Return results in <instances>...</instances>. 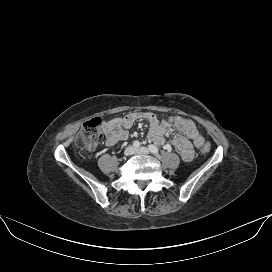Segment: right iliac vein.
<instances>
[{
    "mask_svg": "<svg viewBox=\"0 0 272 272\" xmlns=\"http://www.w3.org/2000/svg\"><path fill=\"white\" fill-rule=\"evenodd\" d=\"M134 152H135V148L133 146H128L124 151V155L130 156V155L134 154Z\"/></svg>",
    "mask_w": 272,
    "mask_h": 272,
    "instance_id": "right-iliac-vein-1",
    "label": "right iliac vein"
}]
</instances>
